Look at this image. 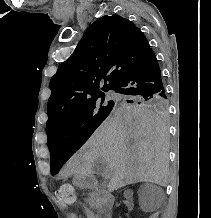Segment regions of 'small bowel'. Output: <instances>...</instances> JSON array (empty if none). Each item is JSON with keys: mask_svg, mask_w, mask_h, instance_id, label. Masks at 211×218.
<instances>
[{"mask_svg": "<svg viewBox=\"0 0 211 218\" xmlns=\"http://www.w3.org/2000/svg\"><path fill=\"white\" fill-rule=\"evenodd\" d=\"M87 218H97L94 213L89 210L85 211Z\"/></svg>", "mask_w": 211, "mask_h": 218, "instance_id": "1", "label": "small bowel"}]
</instances>
